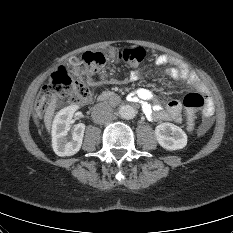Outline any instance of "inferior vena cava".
I'll return each mask as SVG.
<instances>
[{"mask_svg": "<svg viewBox=\"0 0 233 233\" xmlns=\"http://www.w3.org/2000/svg\"><path fill=\"white\" fill-rule=\"evenodd\" d=\"M92 119L97 124H109L114 119L112 107L105 102L93 107Z\"/></svg>", "mask_w": 233, "mask_h": 233, "instance_id": "obj_1", "label": "inferior vena cava"}]
</instances>
